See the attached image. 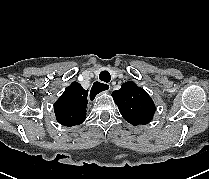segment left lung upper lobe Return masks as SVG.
<instances>
[{
  "label": "left lung upper lobe",
  "mask_w": 209,
  "mask_h": 179,
  "mask_svg": "<svg viewBox=\"0 0 209 179\" xmlns=\"http://www.w3.org/2000/svg\"><path fill=\"white\" fill-rule=\"evenodd\" d=\"M123 118L132 125L149 123L155 113V105L149 94L134 82H125L112 93Z\"/></svg>",
  "instance_id": "obj_1"
}]
</instances>
